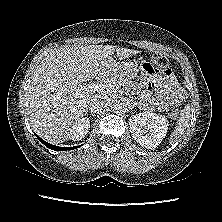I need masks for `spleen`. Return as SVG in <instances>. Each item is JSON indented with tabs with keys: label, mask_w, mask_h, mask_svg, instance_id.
Instances as JSON below:
<instances>
[{
	"label": "spleen",
	"mask_w": 222,
	"mask_h": 222,
	"mask_svg": "<svg viewBox=\"0 0 222 222\" xmlns=\"http://www.w3.org/2000/svg\"><path fill=\"white\" fill-rule=\"evenodd\" d=\"M190 118H191L190 106L187 105L182 110L181 116L179 117V120L176 123L175 129L171 134V137L169 139L170 144H174L180 139V137L182 136V134L185 132L186 128L189 125Z\"/></svg>",
	"instance_id": "spleen-1"
}]
</instances>
